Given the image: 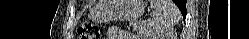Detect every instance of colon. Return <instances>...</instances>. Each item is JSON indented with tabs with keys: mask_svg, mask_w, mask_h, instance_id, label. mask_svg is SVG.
I'll return each instance as SVG.
<instances>
[{
	"mask_svg": "<svg viewBox=\"0 0 249 39\" xmlns=\"http://www.w3.org/2000/svg\"><path fill=\"white\" fill-rule=\"evenodd\" d=\"M80 39H98L100 37L99 28L91 23H81L78 26Z\"/></svg>",
	"mask_w": 249,
	"mask_h": 39,
	"instance_id": "obj_1",
	"label": "colon"
}]
</instances>
